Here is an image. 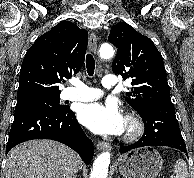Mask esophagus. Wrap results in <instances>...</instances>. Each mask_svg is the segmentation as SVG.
Returning <instances> with one entry per match:
<instances>
[{"mask_svg":"<svg viewBox=\"0 0 194 178\" xmlns=\"http://www.w3.org/2000/svg\"><path fill=\"white\" fill-rule=\"evenodd\" d=\"M89 49L93 52L96 53L97 50V38L94 32H91L89 35ZM97 149L100 151L104 150H110L111 145L110 143L107 142H98L97 143Z\"/></svg>","mask_w":194,"mask_h":178,"instance_id":"34e87169","label":"esophagus"}]
</instances>
